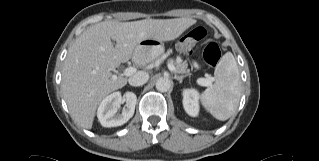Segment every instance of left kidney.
<instances>
[{
	"label": "left kidney",
	"instance_id": "obj_1",
	"mask_svg": "<svg viewBox=\"0 0 319 161\" xmlns=\"http://www.w3.org/2000/svg\"><path fill=\"white\" fill-rule=\"evenodd\" d=\"M183 107L190 116H197L199 113V93L195 89L183 90Z\"/></svg>",
	"mask_w": 319,
	"mask_h": 161
}]
</instances>
